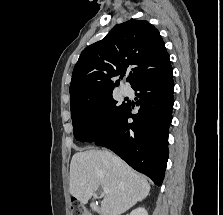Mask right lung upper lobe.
<instances>
[{"mask_svg": "<svg viewBox=\"0 0 223 215\" xmlns=\"http://www.w3.org/2000/svg\"><path fill=\"white\" fill-rule=\"evenodd\" d=\"M128 67H132L131 87L172 69L158 30L146 20L117 24L106 37L82 51L72 73L70 108L112 95L110 78L122 77Z\"/></svg>", "mask_w": 223, "mask_h": 215, "instance_id": "1", "label": "right lung upper lobe"}]
</instances>
